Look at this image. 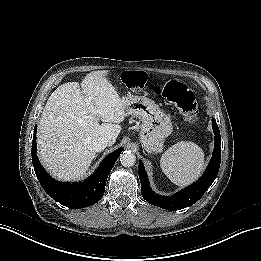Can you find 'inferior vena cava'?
<instances>
[{"mask_svg":"<svg viewBox=\"0 0 261 261\" xmlns=\"http://www.w3.org/2000/svg\"><path fill=\"white\" fill-rule=\"evenodd\" d=\"M109 145L110 141L105 136L97 137L93 142V148L96 152L103 151Z\"/></svg>","mask_w":261,"mask_h":261,"instance_id":"obj_1","label":"inferior vena cava"}]
</instances>
